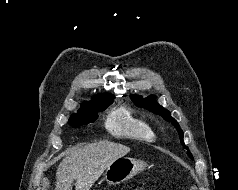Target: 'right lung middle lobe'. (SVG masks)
Returning a JSON list of instances; mask_svg holds the SVG:
<instances>
[{
    "label": "right lung middle lobe",
    "instance_id": "right-lung-middle-lobe-1",
    "mask_svg": "<svg viewBox=\"0 0 238 190\" xmlns=\"http://www.w3.org/2000/svg\"><path fill=\"white\" fill-rule=\"evenodd\" d=\"M113 99L114 95L111 94L96 97L81 108L77 114H73L69 119V124L76 128L94 122L98 117L97 112L107 108L113 102Z\"/></svg>",
    "mask_w": 238,
    "mask_h": 190
}]
</instances>
